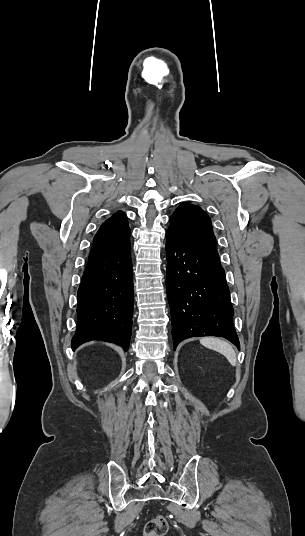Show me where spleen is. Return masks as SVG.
Listing matches in <instances>:
<instances>
[{"label":"spleen","mask_w":305,"mask_h":536,"mask_svg":"<svg viewBox=\"0 0 305 536\" xmlns=\"http://www.w3.org/2000/svg\"><path fill=\"white\" fill-rule=\"evenodd\" d=\"M200 344L205 346V348H209V350L220 352L232 366H236V354L228 342H223V340H218V338H201Z\"/></svg>","instance_id":"obj_1"}]
</instances>
